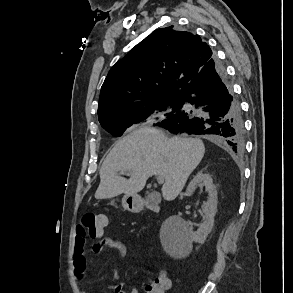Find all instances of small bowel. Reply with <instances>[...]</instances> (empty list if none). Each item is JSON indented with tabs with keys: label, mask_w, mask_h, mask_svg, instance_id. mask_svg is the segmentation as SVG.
<instances>
[{
	"label": "small bowel",
	"mask_w": 293,
	"mask_h": 293,
	"mask_svg": "<svg viewBox=\"0 0 293 293\" xmlns=\"http://www.w3.org/2000/svg\"><path fill=\"white\" fill-rule=\"evenodd\" d=\"M87 237L81 227L76 230L73 251V271L79 279H83L88 268L89 255H99L106 249H112L118 252L121 257L127 254L126 245L111 237L103 236V234L95 240L90 249L86 248ZM167 290L171 287V280L167 278ZM109 287L114 293H141L137 288L128 289L127 283L121 281L115 284H110ZM82 293H94V290L83 291Z\"/></svg>",
	"instance_id": "c3829d8e"
}]
</instances>
